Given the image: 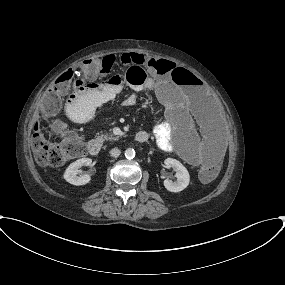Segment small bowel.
<instances>
[{
	"label": "small bowel",
	"mask_w": 285,
	"mask_h": 285,
	"mask_svg": "<svg viewBox=\"0 0 285 285\" xmlns=\"http://www.w3.org/2000/svg\"><path fill=\"white\" fill-rule=\"evenodd\" d=\"M151 60L158 61L154 57L144 58L134 53H125L122 55L124 63H138L140 61ZM148 73L152 77V80L144 87H135L132 93L122 99L121 103L123 106L129 107L136 104L137 92L154 89L155 79H162L166 83H172V80H174L170 75L161 76L153 66L149 67ZM121 93L122 87L114 79L108 82L92 80L71 93L65 104V110L71 119L83 121L88 115L86 110L98 107L104 102L118 99ZM197 99L198 95L196 91H193L192 96L189 98L181 95L175 99L163 100L167 120L154 127L153 135L159 148L169 149L174 143L171 126H181L186 121L187 125L191 127V124L196 121L198 128L192 129L188 136L179 142L183 145L184 159L189 163L203 167L216 160L219 153L224 149L225 142L208 120L195 117L193 103ZM76 104H80L82 108H76Z\"/></svg>",
	"instance_id": "small-bowel-1"
}]
</instances>
